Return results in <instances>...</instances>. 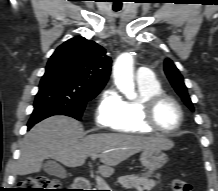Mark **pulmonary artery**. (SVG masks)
I'll list each match as a JSON object with an SVG mask.
<instances>
[{
  "instance_id": "pulmonary-artery-1",
  "label": "pulmonary artery",
  "mask_w": 218,
  "mask_h": 191,
  "mask_svg": "<svg viewBox=\"0 0 218 191\" xmlns=\"http://www.w3.org/2000/svg\"><path fill=\"white\" fill-rule=\"evenodd\" d=\"M136 78L138 82H151L155 80L153 71L147 67H141L137 72Z\"/></svg>"
}]
</instances>
